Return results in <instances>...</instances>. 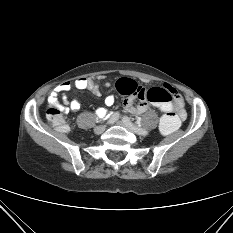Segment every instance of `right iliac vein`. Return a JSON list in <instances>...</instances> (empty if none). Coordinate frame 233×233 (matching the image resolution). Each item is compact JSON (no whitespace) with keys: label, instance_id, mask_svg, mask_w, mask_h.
<instances>
[{"label":"right iliac vein","instance_id":"obj_1","mask_svg":"<svg viewBox=\"0 0 233 233\" xmlns=\"http://www.w3.org/2000/svg\"><path fill=\"white\" fill-rule=\"evenodd\" d=\"M105 129H106V125H99V126L95 127L94 132L96 134H101L105 131Z\"/></svg>","mask_w":233,"mask_h":233}]
</instances>
